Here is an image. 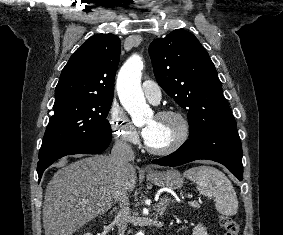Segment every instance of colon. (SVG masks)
<instances>
[{
	"instance_id": "obj_1",
	"label": "colon",
	"mask_w": 283,
	"mask_h": 235,
	"mask_svg": "<svg viewBox=\"0 0 283 235\" xmlns=\"http://www.w3.org/2000/svg\"><path fill=\"white\" fill-rule=\"evenodd\" d=\"M219 223L225 231L224 235H238L239 234V225L230 216L221 215L219 217Z\"/></svg>"
}]
</instances>
